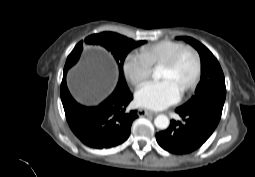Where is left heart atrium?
Wrapping results in <instances>:
<instances>
[{
  "label": "left heart atrium",
  "mask_w": 255,
  "mask_h": 177,
  "mask_svg": "<svg viewBox=\"0 0 255 177\" xmlns=\"http://www.w3.org/2000/svg\"><path fill=\"white\" fill-rule=\"evenodd\" d=\"M180 98V91L169 80L150 81L137 90L135 99L139 106L162 110L175 104Z\"/></svg>",
  "instance_id": "left-heart-atrium-1"
}]
</instances>
